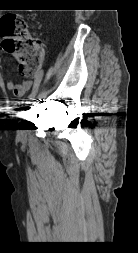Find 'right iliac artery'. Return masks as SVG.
<instances>
[{
	"mask_svg": "<svg viewBox=\"0 0 138 253\" xmlns=\"http://www.w3.org/2000/svg\"><path fill=\"white\" fill-rule=\"evenodd\" d=\"M43 77H44V71H41V73H37L36 74L35 82H34V85H33V89H32L31 95H33L35 93V91L37 90V88L39 86L40 81L43 80ZM26 101H29V98H26Z\"/></svg>",
	"mask_w": 138,
	"mask_h": 253,
	"instance_id": "1",
	"label": "right iliac artery"
}]
</instances>
